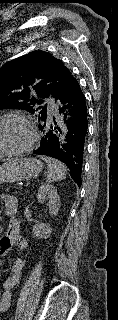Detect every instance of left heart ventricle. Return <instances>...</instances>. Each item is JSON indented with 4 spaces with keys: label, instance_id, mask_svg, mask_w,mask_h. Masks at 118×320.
Listing matches in <instances>:
<instances>
[{
    "label": "left heart ventricle",
    "instance_id": "obj_1",
    "mask_svg": "<svg viewBox=\"0 0 118 320\" xmlns=\"http://www.w3.org/2000/svg\"><path fill=\"white\" fill-rule=\"evenodd\" d=\"M29 139V132L24 123L18 120H6L0 123V148L17 149Z\"/></svg>",
    "mask_w": 118,
    "mask_h": 320
}]
</instances>
